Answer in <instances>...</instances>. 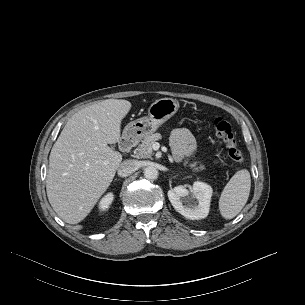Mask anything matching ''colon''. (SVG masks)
<instances>
[{"instance_id": "5ec220e1", "label": "colon", "mask_w": 305, "mask_h": 305, "mask_svg": "<svg viewBox=\"0 0 305 305\" xmlns=\"http://www.w3.org/2000/svg\"><path fill=\"white\" fill-rule=\"evenodd\" d=\"M213 126L216 135L225 143L229 157L237 164L242 163L243 154L237 147L231 125L224 118L218 117L214 120Z\"/></svg>"}]
</instances>
